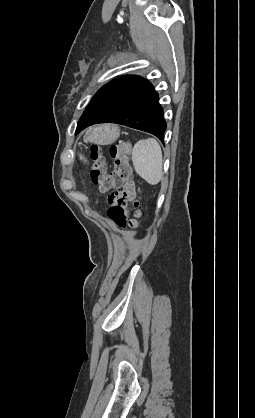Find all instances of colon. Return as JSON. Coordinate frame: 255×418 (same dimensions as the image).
I'll list each match as a JSON object with an SVG mask.
<instances>
[{
	"instance_id": "5ec220e1",
	"label": "colon",
	"mask_w": 255,
	"mask_h": 418,
	"mask_svg": "<svg viewBox=\"0 0 255 418\" xmlns=\"http://www.w3.org/2000/svg\"><path fill=\"white\" fill-rule=\"evenodd\" d=\"M130 144L122 142L113 145L109 154L114 162V169L108 172L102 161L99 148L94 146L91 148L90 157L94 161L91 171V180L96 184L103 193L113 189H117L128 181L132 176V167L130 163ZM110 208L108 210L109 218L119 227H125L127 224L136 226V219L140 217L139 201L135 199L131 206L135 209V219L128 222V209L125 206L126 196L121 193L114 192L109 196Z\"/></svg>"
}]
</instances>
